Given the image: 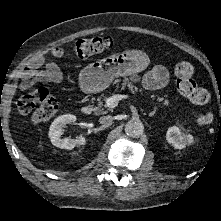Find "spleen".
<instances>
[{"instance_id": "1", "label": "spleen", "mask_w": 221, "mask_h": 221, "mask_svg": "<svg viewBox=\"0 0 221 221\" xmlns=\"http://www.w3.org/2000/svg\"><path fill=\"white\" fill-rule=\"evenodd\" d=\"M213 121V114L208 113L206 116H200L197 119L199 125L210 124Z\"/></svg>"}]
</instances>
